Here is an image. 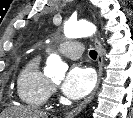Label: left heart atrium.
Masks as SVG:
<instances>
[{"instance_id": "obj_1", "label": "left heart atrium", "mask_w": 133, "mask_h": 118, "mask_svg": "<svg viewBox=\"0 0 133 118\" xmlns=\"http://www.w3.org/2000/svg\"><path fill=\"white\" fill-rule=\"evenodd\" d=\"M96 82L92 69L74 65L62 84L63 93L70 99H80L89 94Z\"/></svg>"}]
</instances>
